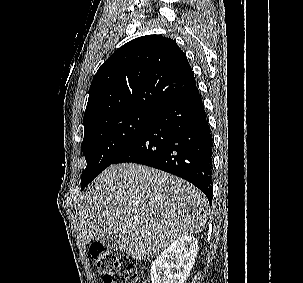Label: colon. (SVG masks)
Instances as JSON below:
<instances>
[{
    "mask_svg": "<svg viewBox=\"0 0 303 283\" xmlns=\"http://www.w3.org/2000/svg\"><path fill=\"white\" fill-rule=\"evenodd\" d=\"M89 250L104 283H148L128 257L98 243L91 244Z\"/></svg>",
    "mask_w": 303,
    "mask_h": 283,
    "instance_id": "5ec220e1",
    "label": "colon"
}]
</instances>
